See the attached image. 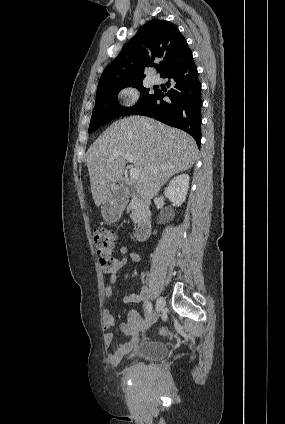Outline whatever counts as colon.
Segmentation results:
<instances>
[{
	"label": "colon",
	"instance_id": "5ec220e1",
	"mask_svg": "<svg viewBox=\"0 0 285 424\" xmlns=\"http://www.w3.org/2000/svg\"><path fill=\"white\" fill-rule=\"evenodd\" d=\"M115 237V233L112 230L96 228L93 231L94 249L102 266L108 272L113 271L117 267V262L112 257ZM161 333H165V331L162 330Z\"/></svg>",
	"mask_w": 285,
	"mask_h": 424
}]
</instances>
